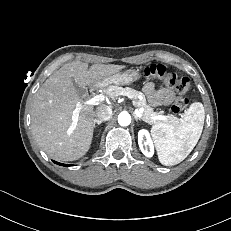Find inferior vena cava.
Segmentation results:
<instances>
[{
    "label": "inferior vena cava",
    "mask_w": 231,
    "mask_h": 231,
    "mask_svg": "<svg viewBox=\"0 0 231 231\" xmlns=\"http://www.w3.org/2000/svg\"><path fill=\"white\" fill-rule=\"evenodd\" d=\"M112 116V109L107 105H101L96 109V120L99 122L108 121Z\"/></svg>",
    "instance_id": "602c4592"
}]
</instances>
